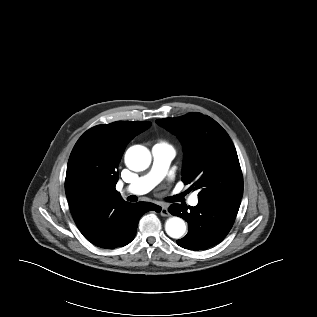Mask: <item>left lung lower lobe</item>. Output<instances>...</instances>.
Instances as JSON below:
<instances>
[{"instance_id":"1","label":"left lung lower lobe","mask_w":317,"mask_h":317,"mask_svg":"<svg viewBox=\"0 0 317 317\" xmlns=\"http://www.w3.org/2000/svg\"><path fill=\"white\" fill-rule=\"evenodd\" d=\"M240 202L241 198L203 197L195 207L172 204L169 212L188 222V234L177 244L194 251L217 245L230 231Z\"/></svg>"}]
</instances>
